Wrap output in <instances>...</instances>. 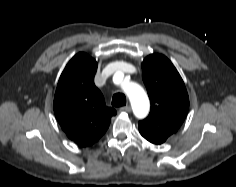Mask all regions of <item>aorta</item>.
Returning <instances> with one entry per match:
<instances>
[{"mask_svg": "<svg viewBox=\"0 0 236 187\" xmlns=\"http://www.w3.org/2000/svg\"><path fill=\"white\" fill-rule=\"evenodd\" d=\"M127 94L135 115L142 118L147 115L149 110V100L144 89L136 83H128L123 86Z\"/></svg>", "mask_w": 236, "mask_h": 187, "instance_id": "1", "label": "aorta"}]
</instances>
